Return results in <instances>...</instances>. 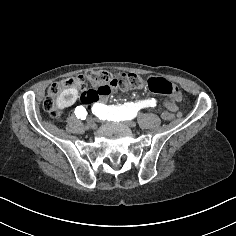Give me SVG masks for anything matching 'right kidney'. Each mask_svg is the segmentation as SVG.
Masks as SVG:
<instances>
[{"label": "right kidney", "mask_w": 236, "mask_h": 236, "mask_svg": "<svg viewBox=\"0 0 236 236\" xmlns=\"http://www.w3.org/2000/svg\"><path fill=\"white\" fill-rule=\"evenodd\" d=\"M78 91L76 88L64 90L59 97L54 100V107L57 110H64L67 106H71L77 99Z\"/></svg>", "instance_id": "ca27d5eb"}]
</instances>
